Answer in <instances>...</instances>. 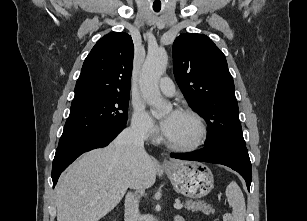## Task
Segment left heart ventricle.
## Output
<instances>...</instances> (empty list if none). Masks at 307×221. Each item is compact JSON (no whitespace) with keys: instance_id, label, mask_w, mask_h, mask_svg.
I'll use <instances>...</instances> for the list:
<instances>
[{"instance_id":"obj_1","label":"left heart ventricle","mask_w":307,"mask_h":221,"mask_svg":"<svg viewBox=\"0 0 307 221\" xmlns=\"http://www.w3.org/2000/svg\"><path fill=\"white\" fill-rule=\"evenodd\" d=\"M169 115L166 116L169 117ZM199 135L197 122L190 116L177 113L166 138L174 144H189Z\"/></svg>"}]
</instances>
